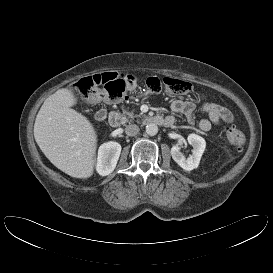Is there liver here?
Segmentation results:
<instances>
[{"label":"liver","mask_w":273,"mask_h":273,"mask_svg":"<svg viewBox=\"0 0 273 273\" xmlns=\"http://www.w3.org/2000/svg\"><path fill=\"white\" fill-rule=\"evenodd\" d=\"M77 98L68 88L49 96L34 124V137L50 162L75 178H89L94 172L97 133L90 121L71 107Z\"/></svg>","instance_id":"6515ba94"}]
</instances>
